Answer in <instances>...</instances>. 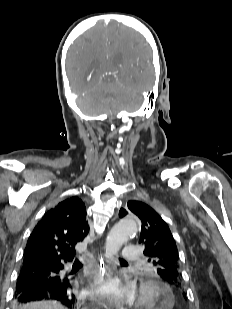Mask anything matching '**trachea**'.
Wrapping results in <instances>:
<instances>
[{"mask_svg":"<svg viewBox=\"0 0 232 309\" xmlns=\"http://www.w3.org/2000/svg\"><path fill=\"white\" fill-rule=\"evenodd\" d=\"M120 261L125 262L123 259H120ZM75 264H80V261H79V260H76V261H75Z\"/></svg>","mask_w":232,"mask_h":309,"instance_id":"obj_1","label":"trachea"}]
</instances>
